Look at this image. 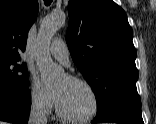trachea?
Returning <instances> with one entry per match:
<instances>
[{"label": "trachea", "mask_w": 156, "mask_h": 124, "mask_svg": "<svg viewBox=\"0 0 156 124\" xmlns=\"http://www.w3.org/2000/svg\"><path fill=\"white\" fill-rule=\"evenodd\" d=\"M51 2H52V0H45V4H46V5H50Z\"/></svg>", "instance_id": "obj_1"}]
</instances>
